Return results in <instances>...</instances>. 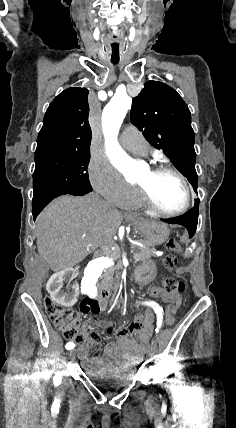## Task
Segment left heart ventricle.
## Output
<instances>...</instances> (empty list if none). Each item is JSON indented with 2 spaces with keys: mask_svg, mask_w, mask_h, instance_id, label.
<instances>
[{
  "mask_svg": "<svg viewBox=\"0 0 236 428\" xmlns=\"http://www.w3.org/2000/svg\"><path fill=\"white\" fill-rule=\"evenodd\" d=\"M128 181L132 184L147 182L157 203L166 210L178 209L185 202L186 193L182 182L170 173L150 178L149 170H145L128 178Z\"/></svg>",
  "mask_w": 236,
  "mask_h": 428,
  "instance_id": "1",
  "label": "left heart ventricle"
}]
</instances>
